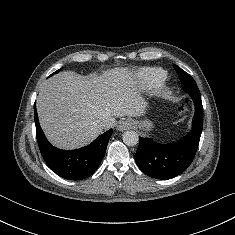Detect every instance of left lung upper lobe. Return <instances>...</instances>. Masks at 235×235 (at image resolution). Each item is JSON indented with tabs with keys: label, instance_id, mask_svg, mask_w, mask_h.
Wrapping results in <instances>:
<instances>
[{
	"label": "left lung upper lobe",
	"instance_id": "left-lung-upper-lobe-1",
	"mask_svg": "<svg viewBox=\"0 0 235 235\" xmlns=\"http://www.w3.org/2000/svg\"><path fill=\"white\" fill-rule=\"evenodd\" d=\"M174 68L181 80V82L184 80V81H187L190 83V86L192 87V89L196 92H200L198 87H197V84L196 82L194 81V79L188 74L186 73L185 71H183L181 68H179L178 66L174 65Z\"/></svg>",
	"mask_w": 235,
	"mask_h": 235
}]
</instances>
